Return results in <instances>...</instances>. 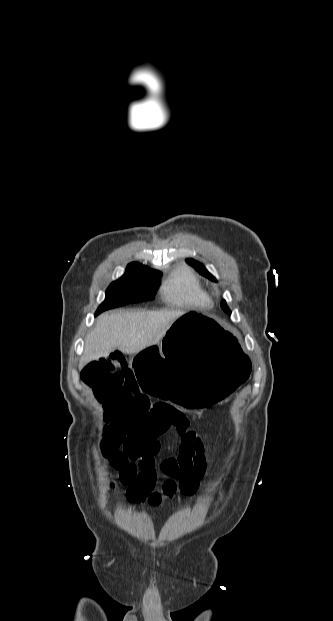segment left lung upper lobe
Wrapping results in <instances>:
<instances>
[{
  "label": "left lung upper lobe",
  "instance_id": "obj_1",
  "mask_svg": "<svg viewBox=\"0 0 333 621\" xmlns=\"http://www.w3.org/2000/svg\"><path fill=\"white\" fill-rule=\"evenodd\" d=\"M188 264H190L192 267H194L201 275H203L204 277L208 278L211 281H215V277L210 274L206 268L204 267V265L194 259H187L186 260ZM222 308L223 310L227 313V314H231L230 309L228 308L227 304L225 301L222 302Z\"/></svg>",
  "mask_w": 333,
  "mask_h": 621
}]
</instances>
